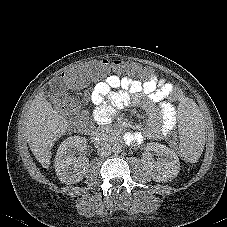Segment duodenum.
Instances as JSON below:
<instances>
[{"label":"duodenum","instance_id":"410a0bca","mask_svg":"<svg viewBox=\"0 0 227 227\" xmlns=\"http://www.w3.org/2000/svg\"><path fill=\"white\" fill-rule=\"evenodd\" d=\"M109 135L107 132H104L102 130H96L91 133V139L94 143H101L105 140H108Z\"/></svg>","mask_w":227,"mask_h":227}]
</instances>
